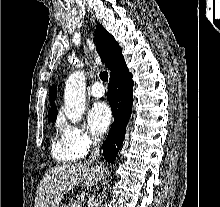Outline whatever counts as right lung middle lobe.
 <instances>
[{"mask_svg": "<svg viewBox=\"0 0 220 207\" xmlns=\"http://www.w3.org/2000/svg\"><path fill=\"white\" fill-rule=\"evenodd\" d=\"M56 120V119H55ZM55 120H51L50 122H54Z\"/></svg>", "mask_w": 220, "mask_h": 207, "instance_id": "obj_1", "label": "right lung middle lobe"}]
</instances>
